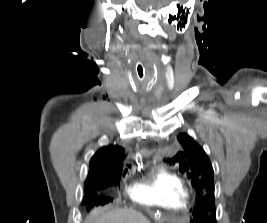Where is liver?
Listing matches in <instances>:
<instances>
[{"label":"liver","mask_w":267,"mask_h":223,"mask_svg":"<svg viewBox=\"0 0 267 223\" xmlns=\"http://www.w3.org/2000/svg\"><path fill=\"white\" fill-rule=\"evenodd\" d=\"M85 223H150L140 212L133 209L96 210L86 218Z\"/></svg>","instance_id":"1"}]
</instances>
